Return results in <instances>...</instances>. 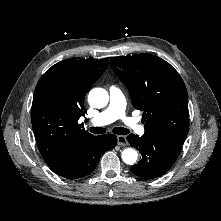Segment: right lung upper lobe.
<instances>
[{
    "mask_svg": "<svg viewBox=\"0 0 221 221\" xmlns=\"http://www.w3.org/2000/svg\"><path fill=\"white\" fill-rule=\"evenodd\" d=\"M108 59H66L38 81L32 103V128L39 151L51 169L61 167L95 136L78 120L84 97L107 68Z\"/></svg>",
    "mask_w": 221,
    "mask_h": 221,
    "instance_id": "1",
    "label": "right lung upper lobe"
}]
</instances>
